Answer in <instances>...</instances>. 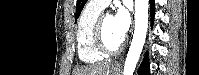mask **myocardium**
I'll return each mask as SVG.
<instances>
[{"label": "myocardium", "instance_id": "myocardium-1", "mask_svg": "<svg viewBox=\"0 0 199 75\" xmlns=\"http://www.w3.org/2000/svg\"><path fill=\"white\" fill-rule=\"evenodd\" d=\"M103 19H104V15H99L94 25L93 40H94L95 46L102 54L118 53L123 48L124 41L122 40L116 47H109L105 43L104 37H103Z\"/></svg>", "mask_w": 199, "mask_h": 75}]
</instances>
